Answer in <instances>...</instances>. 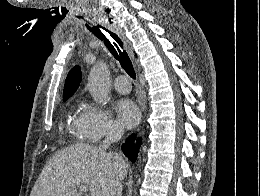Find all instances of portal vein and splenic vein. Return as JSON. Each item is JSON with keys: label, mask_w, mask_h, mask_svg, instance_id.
Returning a JSON list of instances; mask_svg holds the SVG:
<instances>
[{"label": "portal vein and splenic vein", "mask_w": 260, "mask_h": 196, "mask_svg": "<svg viewBox=\"0 0 260 196\" xmlns=\"http://www.w3.org/2000/svg\"><path fill=\"white\" fill-rule=\"evenodd\" d=\"M77 188H79L80 192H85V194L89 192L88 186H77Z\"/></svg>", "instance_id": "obj_1"}]
</instances>
